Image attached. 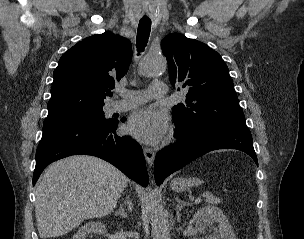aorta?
Listing matches in <instances>:
<instances>
[{
	"instance_id": "762f6f07",
	"label": "aorta",
	"mask_w": 304,
	"mask_h": 239,
	"mask_svg": "<svg viewBox=\"0 0 304 239\" xmlns=\"http://www.w3.org/2000/svg\"><path fill=\"white\" fill-rule=\"evenodd\" d=\"M167 68L164 56H147L141 63L140 71L146 77L161 75ZM147 209L151 221V235L153 239H170L168 215L160 204L158 194L149 192Z\"/></svg>"
}]
</instances>
